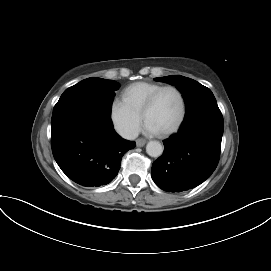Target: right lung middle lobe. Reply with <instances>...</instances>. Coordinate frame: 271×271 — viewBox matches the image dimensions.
Returning a JSON list of instances; mask_svg holds the SVG:
<instances>
[{"label": "right lung middle lobe", "mask_w": 271, "mask_h": 271, "mask_svg": "<svg viewBox=\"0 0 271 271\" xmlns=\"http://www.w3.org/2000/svg\"><path fill=\"white\" fill-rule=\"evenodd\" d=\"M118 88V83L113 80L87 78L64 91L53 109L52 119L69 112L94 107L110 111Z\"/></svg>", "instance_id": "right-lung-middle-lobe-1"}]
</instances>
